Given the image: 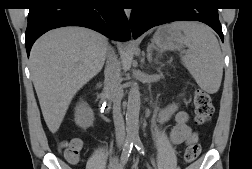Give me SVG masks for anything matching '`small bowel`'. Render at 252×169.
<instances>
[{
	"label": "small bowel",
	"mask_w": 252,
	"mask_h": 169,
	"mask_svg": "<svg viewBox=\"0 0 252 169\" xmlns=\"http://www.w3.org/2000/svg\"><path fill=\"white\" fill-rule=\"evenodd\" d=\"M175 117L176 124L172 128L170 136L175 144H188L197 138V133L193 132L188 125L189 116L185 111H178L176 104H170L159 113V122L165 123L171 117ZM81 143L79 139H72ZM124 163L118 157H113L108 163V169H122Z\"/></svg>",
	"instance_id": "obj_1"
}]
</instances>
